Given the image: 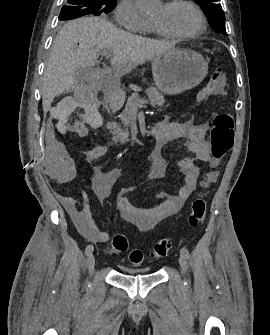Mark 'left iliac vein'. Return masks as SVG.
I'll list each match as a JSON object with an SVG mask.
<instances>
[{"instance_id": "left-iliac-vein-1", "label": "left iliac vein", "mask_w": 270, "mask_h": 335, "mask_svg": "<svg viewBox=\"0 0 270 335\" xmlns=\"http://www.w3.org/2000/svg\"><path fill=\"white\" fill-rule=\"evenodd\" d=\"M178 261H179V265H180V268H181V273L184 274L187 270L186 258L184 256L180 255Z\"/></svg>"}]
</instances>
